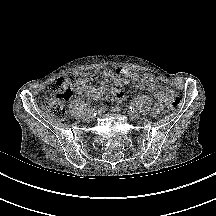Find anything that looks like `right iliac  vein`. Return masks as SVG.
<instances>
[{"mask_svg": "<svg viewBox=\"0 0 216 216\" xmlns=\"http://www.w3.org/2000/svg\"><path fill=\"white\" fill-rule=\"evenodd\" d=\"M93 118V113L88 112L85 116H84V120L89 122L91 121Z\"/></svg>", "mask_w": 216, "mask_h": 216, "instance_id": "63e3f726", "label": "right iliac vein"}]
</instances>
